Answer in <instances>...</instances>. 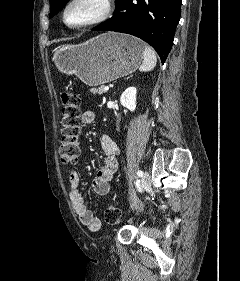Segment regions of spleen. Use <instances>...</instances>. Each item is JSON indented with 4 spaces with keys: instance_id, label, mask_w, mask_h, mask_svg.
<instances>
[{
    "instance_id": "obj_1",
    "label": "spleen",
    "mask_w": 240,
    "mask_h": 281,
    "mask_svg": "<svg viewBox=\"0 0 240 281\" xmlns=\"http://www.w3.org/2000/svg\"><path fill=\"white\" fill-rule=\"evenodd\" d=\"M143 59V63L139 67V70L141 72L153 70L157 64V56L155 51L149 45H146L144 48Z\"/></svg>"
}]
</instances>
